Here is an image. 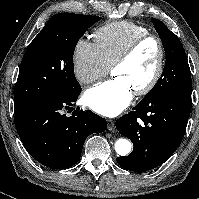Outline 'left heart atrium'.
Segmentation results:
<instances>
[{
    "mask_svg": "<svg viewBox=\"0 0 199 199\" xmlns=\"http://www.w3.org/2000/svg\"><path fill=\"white\" fill-rule=\"evenodd\" d=\"M86 105L98 114L108 117L119 115L132 100V89L122 77L89 88L84 95Z\"/></svg>",
    "mask_w": 199,
    "mask_h": 199,
    "instance_id": "obj_1",
    "label": "left heart atrium"
}]
</instances>
